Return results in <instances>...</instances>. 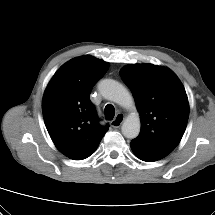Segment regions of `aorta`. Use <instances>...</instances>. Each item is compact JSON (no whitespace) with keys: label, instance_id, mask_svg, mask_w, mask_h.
Masks as SVG:
<instances>
[{"label":"aorta","instance_id":"1","mask_svg":"<svg viewBox=\"0 0 215 215\" xmlns=\"http://www.w3.org/2000/svg\"><path fill=\"white\" fill-rule=\"evenodd\" d=\"M98 89L105 99L113 101L125 109L132 110V113L124 120L121 130L126 138H136L139 135L141 127L140 117L128 90L121 83L113 79L101 80Z\"/></svg>","mask_w":215,"mask_h":215}]
</instances>
